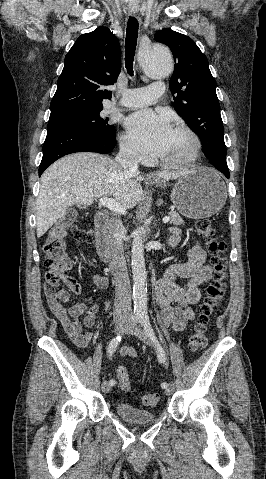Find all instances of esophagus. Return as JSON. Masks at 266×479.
I'll return each mask as SVG.
<instances>
[{
    "instance_id": "34e87169",
    "label": "esophagus",
    "mask_w": 266,
    "mask_h": 479,
    "mask_svg": "<svg viewBox=\"0 0 266 479\" xmlns=\"http://www.w3.org/2000/svg\"><path fill=\"white\" fill-rule=\"evenodd\" d=\"M129 12L130 14L135 15L138 11L135 9H130Z\"/></svg>"
}]
</instances>
